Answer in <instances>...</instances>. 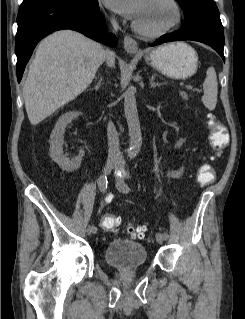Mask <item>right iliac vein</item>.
I'll return each mask as SVG.
<instances>
[{
	"instance_id": "1",
	"label": "right iliac vein",
	"mask_w": 245,
	"mask_h": 319,
	"mask_svg": "<svg viewBox=\"0 0 245 319\" xmlns=\"http://www.w3.org/2000/svg\"><path fill=\"white\" fill-rule=\"evenodd\" d=\"M117 167H118V166H117L115 163H113V162H107L106 165L104 166V169H103L104 175L109 174L111 171L117 169ZM86 232H87V235H91V234L93 233L91 226H89V227L87 228V231H86Z\"/></svg>"
}]
</instances>
